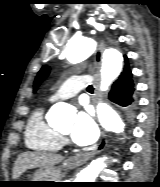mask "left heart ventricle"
Masks as SVG:
<instances>
[{"mask_svg": "<svg viewBox=\"0 0 160 187\" xmlns=\"http://www.w3.org/2000/svg\"><path fill=\"white\" fill-rule=\"evenodd\" d=\"M69 130H70V127H68L67 129H65V130L63 131V133H67Z\"/></svg>", "mask_w": 160, "mask_h": 187, "instance_id": "b2bd125f", "label": "left heart ventricle"}]
</instances>
